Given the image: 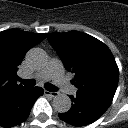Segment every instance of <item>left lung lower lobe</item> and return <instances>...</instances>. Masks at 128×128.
I'll return each mask as SVG.
<instances>
[{"label":"left lung lower lobe","instance_id":"left-lung-lower-lobe-1","mask_svg":"<svg viewBox=\"0 0 128 128\" xmlns=\"http://www.w3.org/2000/svg\"><path fill=\"white\" fill-rule=\"evenodd\" d=\"M70 98L73 106L68 112L59 114L60 119L74 126H85L96 121L108 109L113 96L77 92Z\"/></svg>","mask_w":128,"mask_h":128}]
</instances>
